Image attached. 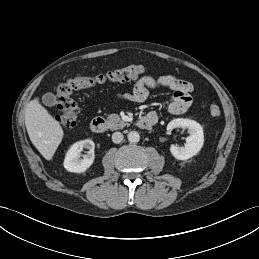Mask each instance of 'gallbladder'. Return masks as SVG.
<instances>
[{"mask_svg":"<svg viewBox=\"0 0 259 259\" xmlns=\"http://www.w3.org/2000/svg\"><path fill=\"white\" fill-rule=\"evenodd\" d=\"M42 102L46 105V106H54L57 103V98L54 94L52 93H46L42 96Z\"/></svg>","mask_w":259,"mask_h":259,"instance_id":"1","label":"gallbladder"}]
</instances>
